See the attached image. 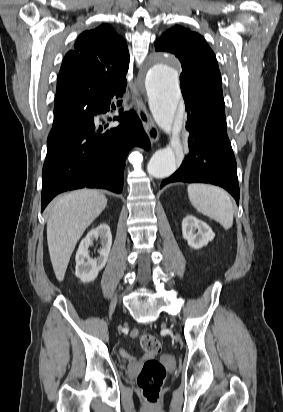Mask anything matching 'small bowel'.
<instances>
[{
  "label": "small bowel",
  "mask_w": 283,
  "mask_h": 412,
  "mask_svg": "<svg viewBox=\"0 0 283 412\" xmlns=\"http://www.w3.org/2000/svg\"><path fill=\"white\" fill-rule=\"evenodd\" d=\"M130 336H131V338H136L138 336V331L137 330H132L131 333H130ZM120 355H121V357H123L124 359H126L128 361L134 360V357L125 348L120 349Z\"/></svg>",
  "instance_id": "obj_1"
}]
</instances>
